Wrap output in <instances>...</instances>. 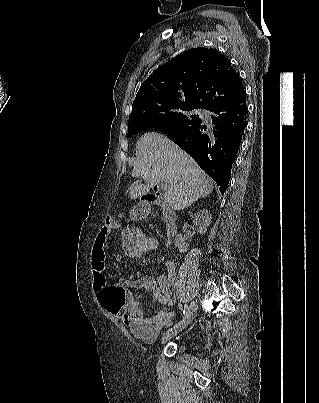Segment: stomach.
Here are the masks:
<instances>
[{"label":"stomach","instance_id":"0dacf381","mask_svg":"<svg viewBox=\"0 0 319 403\" xmlns=\"http://www.w3.org/2000/svg\"><path fill=\"white\" fill-rule=\"evenodd\" d=\"M133 214H134V212H133V211H131V216H133Z\"/></svg>","mask_w":319,"mask_h":403}]
</instances>
